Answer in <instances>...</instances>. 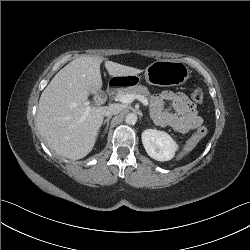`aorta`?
I'll use <instances>...</instances> for the list:
<instances>
[{
    "mask_svg": "<svg viewBox=\"0 0 250 250\" xmlns=\"http://www.w3.org/2000/svg\"><path fill=\"white\" fill-rule=\"evenodd\" d=\"M125 122L130 125H134L137 122V115L134 113H129L125 117Z\"/></svg>",
    "mask_w": 250,
    "mask_h": 250,
    "instance_id": "obj_1",
    "label": "aorta"
}]
</instances>
